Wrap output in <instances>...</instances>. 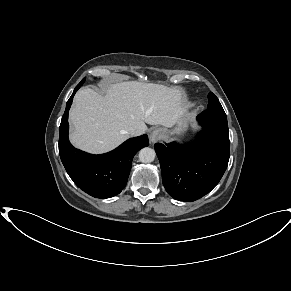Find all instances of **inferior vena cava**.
Masks as SVG:
<instances>
[{
	"instance_id": "602c4592",
	"label": "inferior vena cava",
	"mask_w": 291,
	"mask_h": 291,
	"mask_svg": "<svg viewBox=\"0 0 291 291\" xmlns=\"http://www.w3.org/2000/svg\"><path fill=\"white\" fill-rule=\"evenodd\" d=\"M130 134H131V136H140L143 134V131L139 130V129H133V130H131Z\"/></svg>"
}]
</instances>
